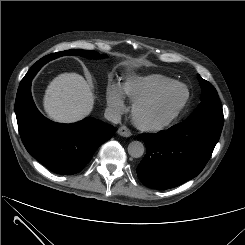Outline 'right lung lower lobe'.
Wrapping results in <instances>:
<instances>
[{
    "label": "right lung lower lobe",
    "instance_id": "1",
    "mask_svg": "<svg viewBox=\"0 0 245 245\" xmlns=\"http://www.w3.org/2000/svg\"><path fill=\"white\" fill-rule=\"evenodd\" d=\"M15 113L27 151L49 170L63 175L78 173L96 149L114 134V127L94 118L73 124L55 123L36 108L31 80L19 86Z\"/></svg>",
    "mask_w": 245,
    "mask_h": 245
}]
</instances>
